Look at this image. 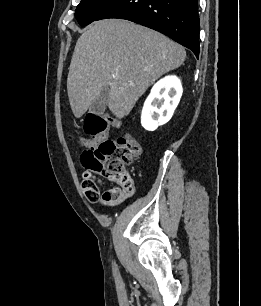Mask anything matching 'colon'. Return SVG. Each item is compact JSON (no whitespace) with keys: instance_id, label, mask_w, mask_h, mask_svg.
Returning a JSON list of instances; mask_svg holds the SVG:
<instances>
[{"instance_id":"1","label":"colon","mask_w":261,"mask_h":306,"mask_svg":"<svg viewBox=\"0 0 261 306\" xmlns=\"http://www.w3.org/2000/svg\"><path fill=\"white\" fill-rule=\"evenodd\" d=\"M112 125L118 123L109 115L88 114L84 120V131L90 139L81 138L85 147L82 153V164L86 171L82 186L88 201L94 203L100 199V191L92 174L118 184L121 189H130L132 179L128 167L140 155L139 142L131 135L117 140H109L107 133ZM120 188L106 191L102 198L109 202L114 199Z\"/></svg>"}]
</instances>
